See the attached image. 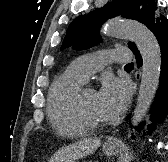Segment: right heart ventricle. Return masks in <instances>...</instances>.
<instances>
[{
  "label": "right heart ventricle",
  "mask_w": 168,
  "mask_h": 162,
  "mask_svg": "<svg viewBox=\"0 0 168 162\" xmlns=\"http://www.w3.org/2000/svg\"><path fill=\"white\" fill-rule=\"evenodd\" d=\"M83 83L68 67L54 79L49 89L47 116L53 130L60 136L77 137L87 132L72 110L73 98Z\"/></svg>",
  "instance_id": "1"
}]
</instances>
